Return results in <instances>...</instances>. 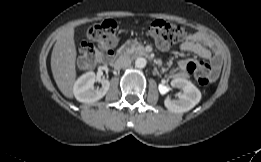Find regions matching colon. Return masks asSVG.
I'll return each instance as SVG.
<instances>
[{
  "label": "colon",
  "mask_w": 261,
  "mask_h": 162,
  "mask_svg": "<svg viewBox=\"0 0 261 162\" xmlns=\"http://www.w3.org/2000/svg\"><path fill=\"white\" fill-rule=\"evenodd\" d=\"M117 29L118 23L114 19H106L88 29L87 35L90 41L84 43L81 48V60L85 66H95L102 58L101 51L109 50L115 45ZM149 32L157 45L162 48L173 46L184 36L180 26L163 20L152 22ZM206 68L204 64L192 63L190 66L197 82L202 86L209 85L213 79Z\"/></svg>",
  "instance_id": "colon-1"
}]
</instances>
